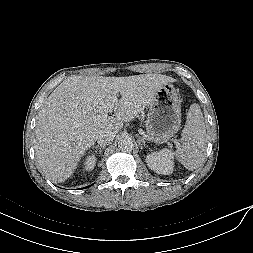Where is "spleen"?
Segmentation results:
<instances>
[{"label":"spleen","instance_id":"1","mask_svg":"<svg viewBox=\"0 0 253 253\" xmlns=\"http://www.w3.org/2000/svg\"><path fill=\"white\" fill-rule=\"evenodd\" d=\"M180 141L175 153L176 159L188 170L200 167L205 158L207 138L204 118L198 104L190 106Z\"/></svg>","mask_w":253,"mask_h":253}]
</instances>
